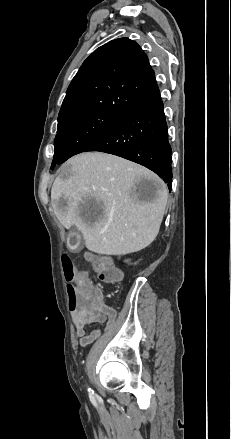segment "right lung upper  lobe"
<instances>
[{
	"instance_id": "obj_1",
	"label": "right lung upper lobe",
	"mask_w": 231,
	"mask_h": 439,
	"mask_svg": "<svg viewBox=\"0 0 231 439\" xmlns=\"http://www.w3.org/2000/svg\"><path fill=\"white\" fill-rule=\"evenodd\" d=\"M160 94L140 46L120 38L96 49L70 83L58 118L91 110L125 115Z\"/></svg>"
}]
</instances>
